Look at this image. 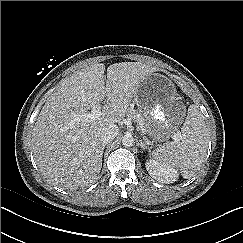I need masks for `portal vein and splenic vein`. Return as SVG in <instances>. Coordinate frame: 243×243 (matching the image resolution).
<instances>
[{
  "label": "portal vein and splenic vein",
  "instance_id": "18ae733b",
  "mask_svg": "<svg viewBox=\"0 0 243 243\" xmlns=\"http://www.w3.org/2000/svg\"><path fill=\"white\" fill-rule=\"evenodd\" d=\"M101 105L98 104V105H95L92 109H91V112L89 113H86L83 115V118L87 121H91V120H95L97 118H99L101 115H102V112H101Z\"/></svg>",
  "mask_w": 243,
  "mask_h": 243
}]
</instances>
